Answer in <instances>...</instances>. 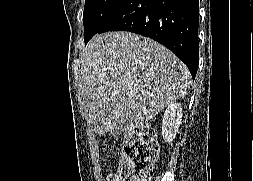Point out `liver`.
Returning <instances> with one entry per match:
<instances>
[{
  "mask_svg": "<svg viewBox=\"0 0 253 181\" xmlns=\"http://www.w3.org/2000/svg\"><path fill=\"white\" fill-rule=\"evenodd\" d=\"M80 63L86 118L99 135L153 119L190 87L189 70L171 51L130 32L96 35Z\"/></svg>",
  "mask_w": 253,
  "mask_h": 181,
  "instance_id": "1",
  "label": "liver"
}]
</instances>
